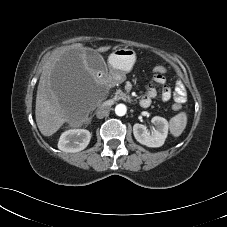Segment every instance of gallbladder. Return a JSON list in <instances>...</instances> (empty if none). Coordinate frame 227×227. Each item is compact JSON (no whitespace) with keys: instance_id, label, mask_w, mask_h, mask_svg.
<instances>
[{"instance_id":"gallbladder-1","label":"gallbladder","mask_w":227,"mask_h":227,"mask_svg":"<svg viewBox=\"0 0 227 227\" xmlns=\"http://www.w3.org/2000/svg\"><path fill=\"white\" fill-rule=\"evenodd\" d=\"M86 61L88 66L97 73H104L108 69L107 64L104 63L103 57L94 50L89 49L86 51Z\"/></svg>"}]
</instances>
